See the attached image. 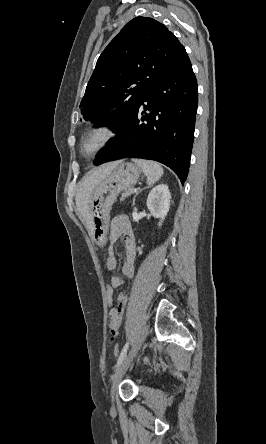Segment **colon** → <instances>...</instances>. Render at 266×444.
<instances>
[{"label": "colon", "instance_id": "5ec220e1", "mask_svg": "<svg viewBox=\"0 0 266 444\" xmlns=\"http://www.w3.org/2000/svg\"><path fill=\"white\" fill-rule=\"evenodd\" d=\"M114 286L110 282L107 284L106 288H105V297H106V302L108 306H112L115 300V296H114ZM119 353V347L116 345L114 347V354H118Z\"/></svg>", "mask_w": 266, "mask_h": 444}]
</instances>
